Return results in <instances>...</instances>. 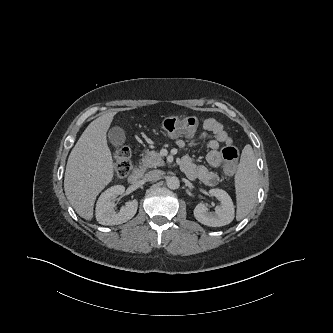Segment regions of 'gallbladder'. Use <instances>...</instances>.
Returning a JSON list of instances; mask_svg holds the SVG:
<instances>
[{"label":"gallbladder","instance_id":"gallbladder-1","mask_svg":"<svg viewBox=\"0 0 333 333\" xmlns=\"http://www.w3.org/2000/svg\"><path fill=\"white\" fill-rule=\"evenodd\" d=\"M108 139L113 146L119 147L125 143L126 135L121 127L114 126L108 132Z\"/></svg>","mask_w":333,"mask_h":333}]
</instances>
